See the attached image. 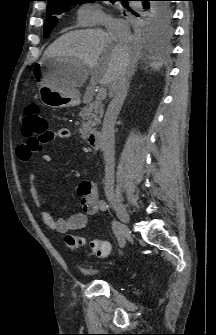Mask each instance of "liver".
Wrapping results in <instances>:
<instances>
[{
  "instance_id": "1",
  "label": "liver",
  "mask_w": 216,
  "mask_h": 335,
  "mask_svg": "<svg viewBox=\"0 0 216 335\" xmlns=\"http://www.w3.org/2000/svg\"><path fill=\"white\" fill-rule=\"evenodd\" d=\"M139 55L140 48L132 39L119 45L102 29H85L60 36L44 51L43 59L66 58L74 61L73 68L65 76L68 88L76 90L91 75L92 83H99L113 92L122 58L127 57L134 62ZM150 66L159 70L162 63L152 62Z\"/></svg>"
}]
</instances>
